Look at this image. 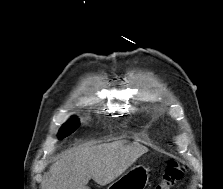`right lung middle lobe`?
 I'll return each mask as SVG.
<instances>
[{"mask_svg": "<svg viewBox=\"0 0 223 189\" xmlns=\"http://www.w3.org/2000/svg\"><path fill=\"white\" fill-rule=\"evenodd\" d=\"M80 126V122L77 117L71 118L66 124L62 126L60 129L58 136L59 139H63L70 134H72L78 127Z\"/></svg>", "mask_w": 223, "mask_h": 189, "instance_id": "dd1d6c3e", "label": "right lung middle lobe"}]
</instances>
